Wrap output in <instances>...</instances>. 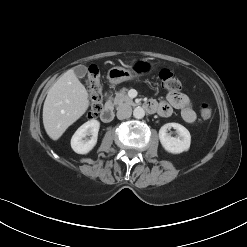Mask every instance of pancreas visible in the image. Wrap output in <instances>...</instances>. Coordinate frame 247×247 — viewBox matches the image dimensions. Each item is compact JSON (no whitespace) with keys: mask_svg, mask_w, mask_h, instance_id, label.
<instances>
[{"mask_svg":"<svg viewBox=\"0 0 247 247\" xmlns=\"http://www.w3.org/2000/svg\"><path fill=\"white\" fill-rule=\"evenodd\" d=\"M126 88H122L119 92L115 93V98L113 99V103L116 106L129 105L134 106L135 103L133 100L127 95Z\"/></svg>","mask_w":247,"mask_h":247,"instance_id":"1","label":"pancreas"}]
</instances>
